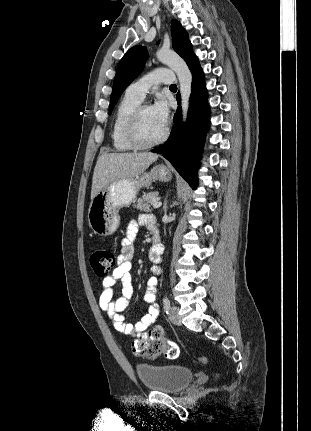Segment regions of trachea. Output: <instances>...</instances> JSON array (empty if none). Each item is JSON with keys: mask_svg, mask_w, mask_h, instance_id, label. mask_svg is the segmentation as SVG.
<instances>
[{"mask_svg": "<svg viewBox=\"0 0 311 431\" xmlns=\"http://www.w3.org/2000/svg\"><path fill=\"white\" fill-rule=\"evenodd\" d=\"M170 88H177L176 85H171Z\"/></svg>", "mask_w": 311, "mask_h": 431, "instance_id": "obj_1", "label": "trachea"}]
</instances>
